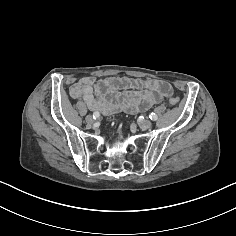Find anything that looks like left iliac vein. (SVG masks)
Listing matches in <instances>:
<instances>
[{
  "mask_svg": "<svg viewBox=\"0 0 236 236\" xmlns=\"http://www.w3.org/2000/svg\"><path fill=\"white\" fill-rule=\"evenodd\" d=\"M139 126L142 129H149L152 126V123L149 120H143L139 123Z\"/></svg>",
  "mask_w": 236,
  "mask_h": 236,
  "instance_id": "left-iliac-vein-1",
  "label": "left iliac vein"
}]
</instances>
